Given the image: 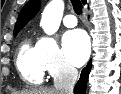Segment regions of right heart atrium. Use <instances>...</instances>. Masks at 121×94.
<instances>
[{
	"label": "right heart atrium",
	"mask_w": 121,
	"mask_h": 94,
	"mask_svg": "<svg viewBox=\"0 0 121 94\" xmlns=\"http://www.w3.org/2000/svg\"><path fill=\"white\" fill-rule=\"evenodd\" d=\"M36 46L40 64L50 76L66 78L74 74V68L65 59L53 37H41Z\"/></svg>",
	"instance_id": "right-heart-atrium-1"
}]
</instances>
